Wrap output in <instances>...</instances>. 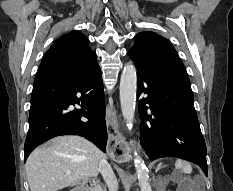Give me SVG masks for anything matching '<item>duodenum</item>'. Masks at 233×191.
I'll return each instance as SVG.
<instances>
[{"label": "duodenum", "instance_id": "1", "mask_svg": "<svg viewBox=\"0 0 233 191\" xmlns=\"http://www.w3.org/2000/svg\"><path fill=\"white\" fill-rule=\"evenodd\" d=\"M72 191H91V189L87 187H77Z\"/></svg>", "mask_w": 233, "mask_h": 191}]
</instances>
